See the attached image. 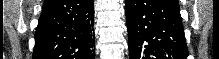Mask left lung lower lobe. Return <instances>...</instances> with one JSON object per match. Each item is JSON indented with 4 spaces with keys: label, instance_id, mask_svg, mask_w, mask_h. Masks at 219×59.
<instances>
[{
    "label": "left lung lower lobe",
    "instance_id": "obj_1",
    "mask_svg": "<svg viewBox=\"0 0 219 59\" xmlns=\"http://www.w3.org/2000/svg\"><path fill=\"white\" fill-rule=\"evenodd\" d=\"M130 59H187L178 0H126Z\"/></svg>",
    "mask_w": 219,
    "mask_h": 59
}]
</instances>
